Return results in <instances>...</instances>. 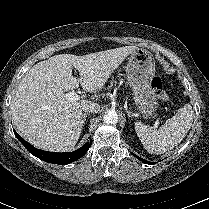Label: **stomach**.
Masks as SVG:
<instances>
[{
    "mask_svg": "<svg viewBox=\"0 0 209 209\" xmlns=\"http://www.w3.org/2000/svg\"><path fill=\"white\" fill-rule=\"evenodd\" d=\"M126 74L138 111L144 116L154 115L158 101L151 86L155 75L153 55L147 50L137 48L128 58Z\"/></svg>",
    "mask_w": 209,
    "mask_h": 209,
    "instance_id": "1",
    "label": "stomach"
}]
</instances>
